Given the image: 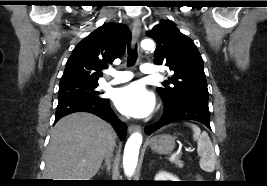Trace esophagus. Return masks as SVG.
<instances>
[{
    "mask_svg": "<svg viewBox=\"0 0 267 186\" xmlns=\"http://www.w3.org/2000/svg\"><path fill=\"white\" fill-rule=\"evenodd\" d=\"M140 32H141V21L138 18H136L133 22V25H132V43H133V45H135L136 42L138 41ZM140 130H141V127L138 125H130L128 127L129 133L138 132Z\"/></svg>",
    "mask_w": 267,
    "mask_h": 186,
    "instance_id": "34e87169",
    "label": "esophagus"
}]
</instances>
